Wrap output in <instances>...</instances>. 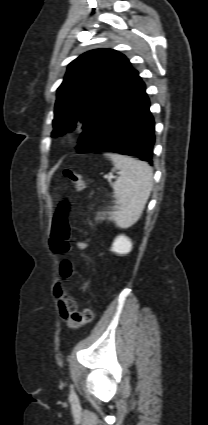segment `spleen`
<instances>
[{
  "label": "spleen",
  "mask_w": 208,
  "mask_h": 425,
  "mask_svg": "<svg viewBox=\"0 0 208 425\" xmlns=\"http://www.w3.org/2000/svg\"><path fill=\"white\" fill-rule=\"evenodd\" d=\"M120 176L113 184L115 206L112 212L102 213L104 219L114 221L120 228H128L138 221L153 186L152 168L143 161L119 154H107Z\"/></svg>",
  "instance_id": "obj_1"
}]
</instances>
